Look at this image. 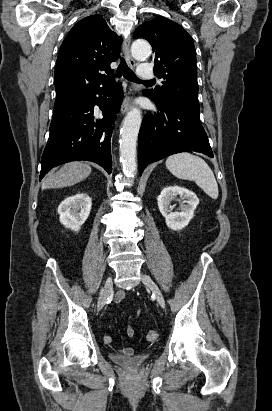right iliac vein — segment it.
I'll use <instances>...</instances> for the list:
<instances>
[{
    "instance_id": "1",
    "label": "right iliac vein",
    "mask_w": 272,
    "mask_h": 411,
    "mask_svg": "<svg viewBox=\"0 0 272 411\" xmlns=\"http://www.w3.org/2000/svg\"><path fill=\"white\" fill-rule=\"evenodd\" d=\"M111 289H112V278L108 277L105 281L103 292H102V294L99 298L98 304H97V310L98 311H101L103 309V307L105 306L107 297H108Z\"/></svg>"
}]
</instances>
